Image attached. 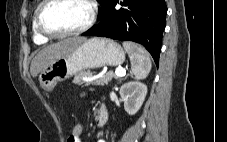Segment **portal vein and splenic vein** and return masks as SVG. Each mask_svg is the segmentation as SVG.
Masks as SVG:
<instances>
[{
	"label": "portal vein and splenic vein",
	"mask_w": 227,
	"mask_h": 142,
	"mask_svg": "<svg viewBox=\"0 0 227 142\" xmlns=\"http://www.w3.org/2000/svg\"><path fill=\"white\" fill-rule=\"evenodd\" d=\"M110 74H114L115 76H123L124 75V71H122V70H116L114 73L113 72H110ZM94 78H96V77H94ZM83 80L86 81V82H88V81L93 80V78H84Z\"/></svg>",
	"instance_id": "18ae733b"
}]
</instances>
